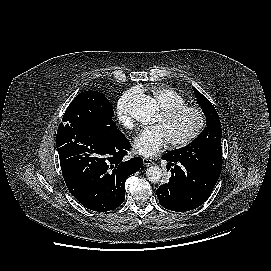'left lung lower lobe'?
Masks as SVG:
<instances>
[{
	"mask_svg": "<svg viewBox=\"0 0 271 271\" xmlns=\"http://www.w3.org/2000/svg\"><path fill=\"white\" fill-rule=\"evenodd\" d=\"M162 159L169 162L168 169L172 166L169 181L156 191L164 208L177 212L193 210L210 196L219 177L198 166L176 160L170 153Z\"/></svg>",
	"mask_w": 271,
	"mask_h": 271,
	"instance_id": "obj_1",
	"label": "left lung lower lobe"
}]
</instances>
